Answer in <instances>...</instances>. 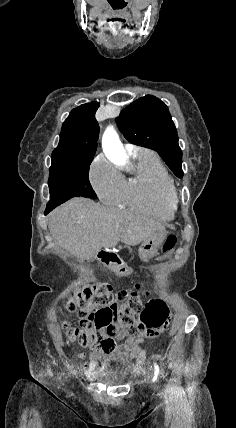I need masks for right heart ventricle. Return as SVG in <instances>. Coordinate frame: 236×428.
Returning a JSON list of instances; mask_svg holds the SVG:
<instances>
[{"label":"right heart ventricle","instance_id":"right-heart-ventricle-1","mask_svg":"<svg viewBox=\"0 0 236 428\" xmlns=\"http://www.w3.org/2000/svg\"><path fill=\"white\" fill-rule=\"evenodd\" d=\"M126 163L131 166L132 175L125 180L123 203L157 219L172 220L176 202L169 192L175 188V181L156 154L138 148L127 157Z\"/></svg>","mask_w":236,"mask_h":428}]
</instances>
